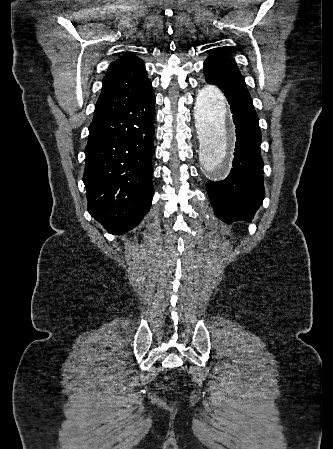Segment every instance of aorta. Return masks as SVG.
<instances>
[{
	"mask_svg": "<svg viewBox=\"0 0 333 449\" xmlns=\"http://www.w3.org/2000/svg\"><path fill=\"white\" fill-rule=\"evenodd\" d=\"M195 118L202 139L199 163L218 177L230 163L235 136L228 100L216 86L208 84L199 90Z\"/></svg>",
	"mask_w": 333,
	"mask_h": 449,
	"instance_id": "obj_1",
	"label": "aorta"
}]
</instances>
